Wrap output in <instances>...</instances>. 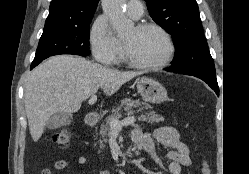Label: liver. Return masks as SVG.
<instances>
[{
	"label": "liver",
	"instance_id": "1",
	"mask_svg": "<svg viewBox=\"0 0 249 174\" xmlns=\"http://www.w3.org/2000/svg\"><path fill=\"white\" fill-rule=\"evenodd\" d=\"M142 74L106 68L82 57L53 56L31 71L25 81V112L31 137L37 142L55 113H75L99 88L111 96Z\"/></svg>",
	"mask_w": 249,
	"mask_h": 174
}]
</instances>
